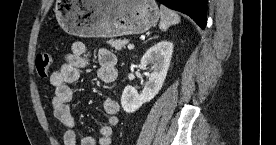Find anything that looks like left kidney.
Masks as SVG:
<instances>
[{
  "label": "left kidney",
  "mask_w": 276,
  "mask_h": 145,
  "mask_svg": "<svg viewBox=\"0 0 276 145\" xmlns=\"http://www.w3.org/2000/svg\"><path fill=\"white\" fill-rule=\"evenodd\" d=\"M173 43L161 41L150 47L141 58V66L150 65V76L141 94H138L132 86L125 87L121 105L125 112L133 113L144 103L152 100L161 90L170 66Z\"/></svg>",
  "instance_id": "1"
}]
</instances>
